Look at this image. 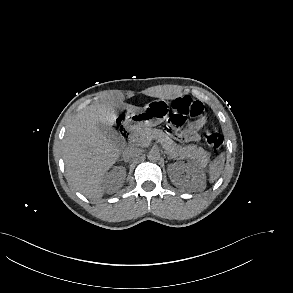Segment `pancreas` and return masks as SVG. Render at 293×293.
Segmentation results:
<instances>
[{"mask_svg": "<svg viewBox=\"0 0 293 293\" xmlns=\"http://www.w3.org/2000/svg\"><path fill=\"white\" fill-rule=\"evenodd\" d=\"M158 138L166 152L174 159L194 160L204 164L209 159V153L197 145L180 146L170 140L161 130L149 127H137L132 132L131 141L136 146H147L153 138Z\"/></svg>", "mask_w": 293, "mask_h": 293, "instance_id": "pancreas-1", "label": "pancreas"}]
</instances>
